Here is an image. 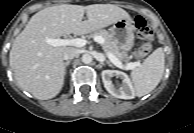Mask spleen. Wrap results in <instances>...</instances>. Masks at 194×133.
Instances as JSON below:
<instances>
[{
    "instance_id": "3e777b00",
    "label": "spleen",
    "mask_w": 194,
    "mask_h": 133,
    "mask_svg": "<svg viewBox=\"0 0 194 133\" xmlns=\"http://www.w3.org/2000/svg\"><path fill=\"white\" fill-rule=\"evenodd\" d=\"M165 68L163 49L157 48L144 62L132 70L131 79L138 97H142L156 88L160 83Z\"/></svg>"
}]
</instances>
